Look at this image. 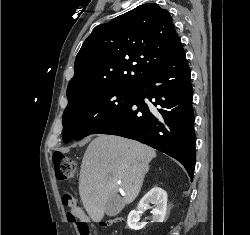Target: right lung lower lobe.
Instances as JSON below:
<instances>
[{
	"instance_id": "right-lung-lower-lobe-1",
	"label": "right lung lower lobe",
	"mask_w": 250,
	"mask_h": 235,
	"mask_svg": "<svg viewBox=\"0 0 250 235\" xmlns=\"http://www.w3.org/2000/svg\"><path fill=\"white\" fill-rule=\"evenodd\" d=\"M190 77L179 41L169 60L145 77L130 101L93 134L118 135L147 144L177 159L193 178L196 136Z\"/></svg>"
}]
</instances>
